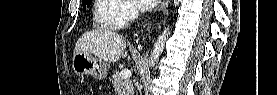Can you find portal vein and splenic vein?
Returning a JSON list of instances; mask_svg holds the SVG:
<instances>
[{"label": "portal vein and splenic vein", "mask_w": 277, "mask_h": 95, "mask_svg": "<svg viewBox=\"0 0 277 95\" xmlns=\"http://www.w3.org/2000/svg\"><path fill=\"white\" fill-rule=\"evenodd\" d=\"M131 77V71L128 69H124L120 72V78L129 79Z\"/></svg>", "instance_id": "18ae733b"}]
</instances>
